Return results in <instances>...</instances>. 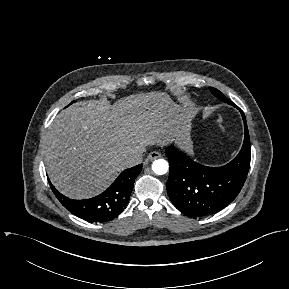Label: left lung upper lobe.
<instances>
[{"label": "left lung upper lobe", "mask_w": 289, "mask_h": 289, "mask_svg": "<svg viewBox=\"0 0 289 289\" xmlns=\"http://www.w3.org/2000/svg\"><path fill=\"white\" fill-rule=\"evenodd\" d=\"M211 92L213 95H215L217 98L223 100L224 102L228 103V104H232L235 107H237L232 101H230L229 99H227L223 93H221L219 90L215 89V88H210Z\"/></svg>", "instance_id": "obj_1"}]
</instances>
